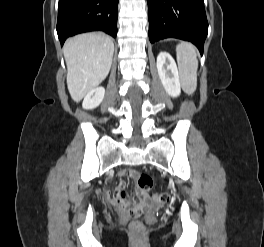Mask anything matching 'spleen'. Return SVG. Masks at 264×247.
Instances as JSON below:
<instances>
[{
  "label": "spleen",
  "mask_w": 264,
  "mask_h": 247,
  "mask_svg": "<svg viewBox=\"0 0 264 247\" xmlns=\"http://www.w3.org/2000/svg\"><path fill=\"white\" fill-rule=\"evenodd\" d=\"M176 55L182 87L187 94H193L197 87L196 49L192 44L182 42L176 46Z\"/></svg>",
  "instance_id": "spleen-1"
}]
</instances>
